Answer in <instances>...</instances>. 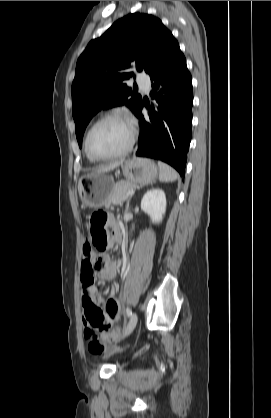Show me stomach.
<instances>
[{
  "label": "stomach",
  "instance_id": "0dacf381",
  "mask_svg": "<svg viewBox=\"0 0 271 418\" xmlns=\"http://www.w3.org/2000/svg\"><path fill=\"white\" fill-rule=\"evenodd\" d=\"M124 177L135 185H146L158 176L156 164L146 158H133L121 164ZM114 187L113 179L104 173H93L82 177L78 193L84 207L99 208L107 203Z\"/></svg>",
  "mask_w": 271,
  "mask_h": 418
}]
</instances>
